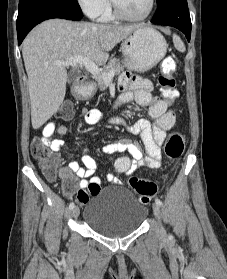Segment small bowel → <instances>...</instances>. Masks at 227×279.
<instances>
[{
  "instance_id": "small-bowel-1",
  "label": "small bowel",
  "mask_w": 227,
  "mask_h": 279,
  "mask_svg": "<svg viewBox=\"0 0 227 279\" xmlns=\"http://www.w3.org/2000/svg\"><path fill=\"white\" fill-rule=\"evenodd\" d=\"M120 94L115 101L114 109H119L132 101L140 106L149 109V115L154 122L148 119H140L136 123L127 126V130L139 135L146 154L144 155L137 144L125 139L113 143H108L103 147L106 154H115L122 151L129 153L128 157H119L113 164L112 171L106 175L109 182H118L116 174H132L138 167L145 166L149 169H158L161 166V145L166 139V133L176 121V115L172 111H167V103L153 95V87L146 79L134 78L130 74H123L119 79ZM81 115L86 124L95 125L101 121V113L97 109H82ZM112 123H122L119 117H114ZM67 128L64 124L56 120H50L43 129V140L45 146L49 147L54 153L59 152L66 145L64 139L54 138V134L65 135ZM81 166L76 161H71L60 169V175L67 184L74 177L79 179V186L87 194L86 198H78L81 205L88 201V192L92 183L100 186V178L95 174L98 171V164L95 158L89 154L88 148L83 149ZM100 189V188H99ZM66 194L70 195L71 193Z\"/></svg>"
}]
</instances>
